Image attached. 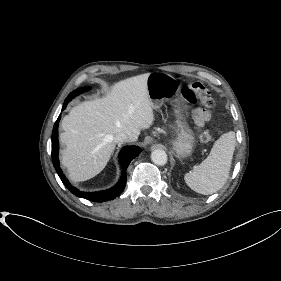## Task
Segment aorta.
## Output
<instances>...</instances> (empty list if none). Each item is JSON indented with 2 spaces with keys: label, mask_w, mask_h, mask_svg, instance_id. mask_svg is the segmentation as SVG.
I'll list each match as a JSON object with an SVG mask.
<instances>
[{
  "label": "aorta",
  "mask_w": 281,
  "mask_h": 281,
  "mask_svg": "<svg viewBox=\"0 0 281 281\" xmlns=\"http://www.w3.org/2000/svg\"><path fill=\"white\" fill-rule=\"evenodd\" d=\"M151 160L156 165H165L168 157L164 150L156 149L151 153Z\"/></svg>",
  "instance_id": "obj_1"
}]
</instances>
